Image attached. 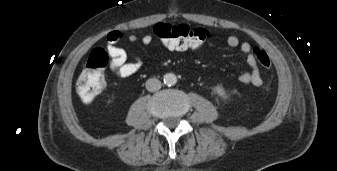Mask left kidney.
<instances>
[{
	"instance_id": "obj_1",
	"label": "left kidney",
	"mask_w": 337,
	"mask_h": 171,
	"mask_svg": "<svg viewBox=\"0 0 337 171\" xmlns=\"http://www.w3.org/2000/svg\"><path fill=\"white\" fill-rule=\"evenodd\" d=\"M215 92H216L219 96H221L222 98L227 99V96H226V94H225V91H224V89H223L222 87L217 86V87L215 88Z\"/></svg>"
}]
</instances>
